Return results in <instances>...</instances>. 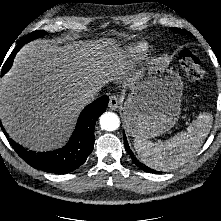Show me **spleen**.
I'll return each mask as SVG.
<instances>
[{
    "instance_id": "1",
    "label": "spleen",
    "mask_w": 221,
    "mask_h": 221,
    "mask_svg": "<svg viewBox=\"0 0 221 221\" xmlns=\"http://www.w3.org/2000/svg\"><path fill=\"white\" fill-rule=\"evenodd\" d=\"M213 116L200 113L185 131L165 142L134 139V148L148 167L158 171H169L183 165L199 150L212 127Z\"/></svg>"
}]
</instances>
